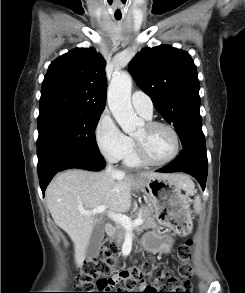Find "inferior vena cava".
<instances>
[{
    "instance_id": "inferior-vena-cava-1",
    "label": "inferior vena cava",
    "mask_w": 245,
    "mask_h": 293,
    "mask_svg": "<svg viewBox=\"0 0 245 293\" xmlns=\"http://www.w3.org/2000/svg\"><path fill=\"white\" fill-rule=\"evenodd\" d=\"M107 171L111 174V176H114L120 173V171L114 169V167H112L111 165L108 166Z\"/></svg>"
}]
</instances>
